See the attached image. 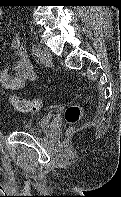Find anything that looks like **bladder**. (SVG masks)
Instances as JSON below:
<instances>
[{"label":"bladder","mask_w":121,"mask_h":197,"mask_svg":"<svg viewBox=\"0 0 121 197\" xmlns=\"http://www.w3.org/2000/svg\"><path fill=\"white\" fill-rule=\"evenodd\" d=\"M50 121L51 119L48 114L32 117L22 125L21 129L26 132L42 131L49 127Z\"/></svg>","instance_id":"1"}]
</instances>
